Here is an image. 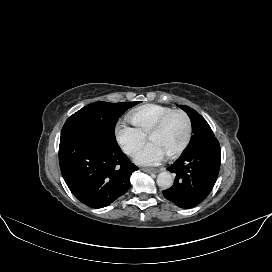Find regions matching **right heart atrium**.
Segmentation results:
<instances>
[{
  "mask_svg": "<svg viewBox=\"0 0 272 272\" xmlns=\"http://www.w3.org/2000/svg\"><path fill=\"white\" fill-rule=\"evenodd\" d=\"M115 134L122 150L130 156L135 155L146 141V135L125 120L118 121Z\"/></svg>",
  "mask_w": 272,
  "mask_h": 272,
  "instance_id": "1",
  "label": "right heart atrium"
}]
</instances>
